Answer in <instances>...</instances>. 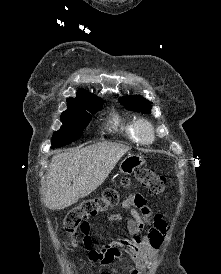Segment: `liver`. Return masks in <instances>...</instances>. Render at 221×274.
Listing matches in <instances>:
<instances>
[{"instance_id": "6515ba94", "label": "liver", "mask_w": 221, "mask_h": 274, "mask_svg": "<svg viewBox=\"0 0 221 274\" xmlns=\"http://www.w3.org/2000/svg\"><path fill=\"white\" fill-rule=\"evenodd\" d=\"M129 150V146L100 142L54 155L42 190L44 205L60 210L87 197Z\"/></svg>"}]
</instances>
